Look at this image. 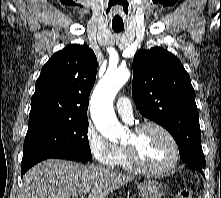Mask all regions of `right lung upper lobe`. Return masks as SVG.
Here are the masks:
<instances>
[{
  "label": "right lung upper lobe",
  "mask_w": 221,
  "mask_h": 198,
  "mask_svg": "<svg viewBox=\"0 0 221 198\" xmlns=\"http://www.w3.org/2000/svg\"><path fill=\"white\" fill-rule=\"evenodd\" d=\"M97 59L87 45L72 44L43 66L31 100L29 122L45 118L88 119Z\"/></svg>",
  "instance_id": "obj_1"
}]
</instances>
